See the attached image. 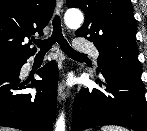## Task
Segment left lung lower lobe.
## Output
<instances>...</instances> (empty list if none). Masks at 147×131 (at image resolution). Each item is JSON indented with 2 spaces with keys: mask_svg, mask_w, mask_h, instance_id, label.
Returning <instances> with one entry per match:
<instances>
[{
  "mask_svg": "<svg viewBox=\"0 0 147 131\" xmlns=\"http://www.w3.org/2000/svg\"><path fill=\"white\" fill-rule=\"evenodd\" d=\"M102 90L82 88L73 108L71 131L103 125H120L147 131V102L141 78L114 68L103 67Z\"/></svg>",
  "mask_w": 147,
  "mask_h": 131,
  "instance_id": "0a47b994",
  "label": "left lung lower lobe"
}]
</instances>
